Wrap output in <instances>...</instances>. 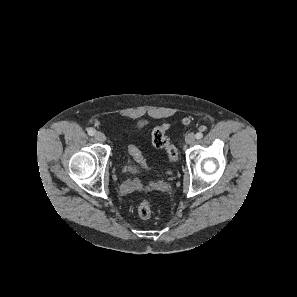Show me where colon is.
<instances>
[{
	"label": "colon",
	"instance_id": "colon-1",
	"mask_svg": "<svg viewBox=\"0 0 297 297\" xmlns=\"http://www.w3.org/2000/svg\"><path fill=\"white\" fill-rule=\"evenodd\" d=\"M182 124H188L189 120L184 119L181 121ZM169 124H161L157 126L152 132V143L156 148L164 149L170 161L175 162L178 160V151L176 147L170 142L166 135L169 129ZM129 153L133 158L144 168H147V163L142 156L140 150L134 146L130 145L128 147ZM152 205L148 200H143L138 206V215L142 219H149L152 215Z\"/></svg>",
	"mask_w": 297,
	"mask_h": 297
}]
</instances>
